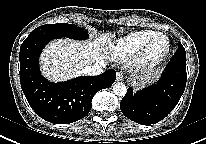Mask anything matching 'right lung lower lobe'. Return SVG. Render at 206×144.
I'll use <instances>...</instances> for the list:
<instances>
[{
	"label": "right lung lower lobe",
	"mask_w": 206,
	"mask_h": 144,
	"mask_svg": "<svg viewBox=\"0 0 206 144\" xmlns=\"http://www.w3.org/2000/svg\"><path fill=\"white\" fill-rule=\"evenodd\" d=\"M54 38L29 35L20 48V82L25 97L42 119L55 124H69L84 118L91 110L94 95L115 82L116 72L107 70L98 76L78 77L51 83L39 70V56Z\"/></svg>",
	"instance_id": "98d812e1"
}]
</instances>
